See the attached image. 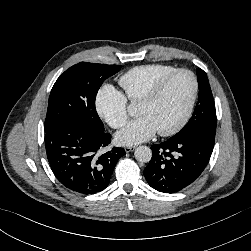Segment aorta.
Segmentation results:
<instances>
[{
	"instance_id": "aorta-1",
	"label": "aorta",
	"mask_w": 251,
	"mask_h": 251,
	"mask_svg": "<svg viewBox=\"0 0 251 251\" xmlns=\"http://www.w3.org/2000/svg\"><path fill=\"white\" fill-rule=\"evenodd\" d=\"M134 155L137 161L147 163L151 160L152 151L147 146H139L135 149Z\"/></svg>"
}]
</instances>
